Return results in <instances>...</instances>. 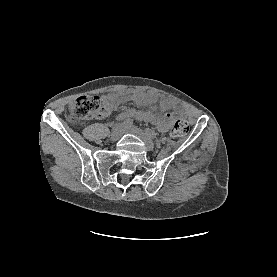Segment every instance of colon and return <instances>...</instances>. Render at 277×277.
Instances as JSON below:
<instances>
[{
  "label": "colon",
  "mask_w": 277,
  "mask_h": 277,
  "mask_svg": "<svg viewBox=\"0 0 277 277\" xmlns=\"http://www.w3.org/2000/svg\"><path fill=\"white\" fill-rule=\"evenodd\" d=\"M102 113L99 100L94 96H80L69 106L67 118L73 122L91 120L100 117ZM189 130L188 121L178 119L173 128L172 136L176 138L184 137Z\"/></svg>",
  "instance_id": "obj_1"
}]
</instances>
